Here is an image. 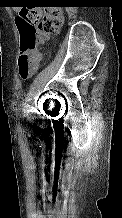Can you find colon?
I'll return each mask as SVG.
<instances>
[{"mask_svg":"<svg viewBox=\"0 0 122 218\" xmlns=\"http://www.w3.org/2000/svg\"><path fill=\"white\" fill-rule=\"evenodd\" d=\"M20 32L19 74L29 79L40 60L37 48L56 34L62 23V11L58 7L22 8L16 17Z\"/></svg>","mask_w":122,"mask_h":218,"instance_id":"obj_1","label":"colon"}]
</instances>
